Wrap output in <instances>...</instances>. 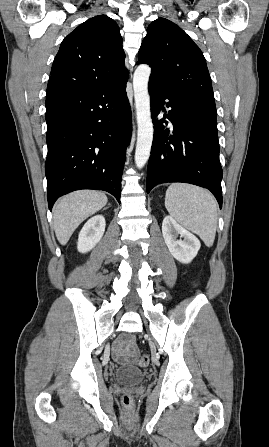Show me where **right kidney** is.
Masks as SVG:
<instances>
[{
    "label": "right kidney",
    "instance_id": "right-kidney-1",
    "mask_svg": "<svg viewBox=\"0 0 269 447\" xmlns=\"http://www.w3.org/2000/svg\"><path fill=\"white\" fill-rule=\"evenodd\" d=\"M105 218L104 216H93L86 224L83 225L77 243L78 251L86 253L95 247L96 243L100 241L105 231Z\"/></svg>",
    "mask_w": 269,
    "mask_h": 447
}]
</instances>
